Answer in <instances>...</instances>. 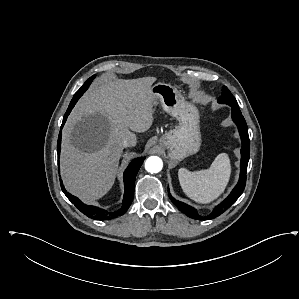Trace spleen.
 <instances>
[{"label": "spleen", "mask_w": 299, "mask_h": 299, "mask_svg": "<svg viewBox=\"0 0 299 299\" xmlns=\"http://www.w3.org/2000/svg\"><path fill=\"white\" fill-rule=\"evenodd\" d=\"M231 175V165L226 153L217 155L209 169L191 172L185 168L178 171L184 193L199 203H210L225 190Z\"/></svg>", "instance_id": "obj_1"}]
</instances>
